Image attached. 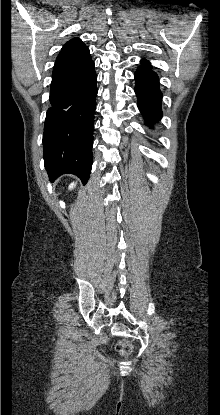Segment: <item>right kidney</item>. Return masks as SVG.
<instances>
[{"mask_svg":"<svg viewBox=\"0 0 220 415\" xmlns=\"http://www.w3.org/2000/svg\"><path fill=\"white\" fill-rule=\"evenodd\" d=\"M73 188H75V183H71L69 186V189L72 190Z\"/></svg>","mask_w":220,"mask_h":415,"instance_id":"right-kidney-1","label":"right kidney"}]
</instances>
